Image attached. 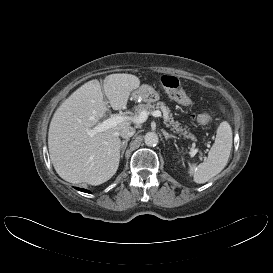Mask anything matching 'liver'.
<instances>
[{
	"label": "liver",
	"mask_w": 273,
	"mask_h": 273,
	"mask_svg": "<svg viewBox=\"0 0 273 273\" xmlns=\"http://www.w3.org/2000/svg\"><path fill=\"white\" fill-rule=\"evenodd\" d=\"M140 80L132 74H110L103 80L104 93L114 110L124 109ZM100 82L91 80L67 98L50 123L48 147L57 174L70 183L100 185L117 171L121 141L118 132L131 125L123 121L90 135L108 111Z\"/></svg>",
	"instance_id": "6515ba94"
}]
</instances>
